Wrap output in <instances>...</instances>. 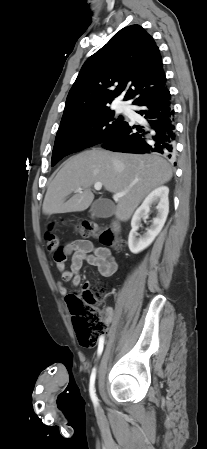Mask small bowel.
I'll list each match as a JSON object with an SVG mask.
<instances>
[{
	"label": "small bowel",
	"instance_id": "obj_1",
	"mask_svg": "<svg viewBox=\"0 0 207 449\" xmlns=\"http://www.w3.org/2000/svg\"><path fill=\"white\" fill-rule=\"evenodd\" d=\"M66 255H71L70 268L66 269L63 262H58L61 280L58 282V291L61 296L68 294L65 282H71L75 287L79 286L82 280L81 269L84 262L97 267L99 273L104 277L112 276L118 267L117 260L111 250L107 247H97L92 241L87 239H75L67 243L64 247ZM112 319L111 311L106 313V320Z\"/></svg>",
	"mask_w": 207,
	"mask_h": 449
}]
</instances>
